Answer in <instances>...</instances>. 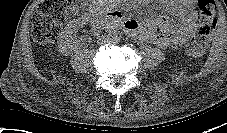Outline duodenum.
Listing matches in <instances>:
<instances>
[{
  "instance_id": "obj_1",
  "label": "duodenum",
  "mask_w": 227,
  "mask_h": 133,
  "mask_svg": "<svg viewBox=\"0 0 227 133\" xmlns=\"http://www.w3.org/2000/svg\"><path fill=\"white\" fill-rule=\"evenodd\" d=\"M102 25L107 29H120L131 32L129 24L121 20V16L116 12L107 13L106 17L102 21Z\"/></svg>"
}]
</instances>
